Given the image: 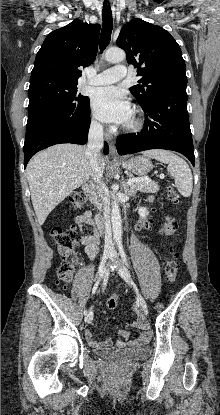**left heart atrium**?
<instances>
[{
  "label": "left heart atrium",
  "mask_w": 220,
  "mask_h": 415,
  "mask_svg": "<svg viewBox=\"0 0 220 415\" xmlns=\"http://www.w3.org/2000/svg\"><path fill=\"white\" fill-rule=\"evenodd\" d=\"M92 107L98 119L107 123H127L132 109L125 94L114 86L102 87L92 94Z\"/></svg>",
  "instance_id": "left-heart-atrium-1"
}]
</instances>
